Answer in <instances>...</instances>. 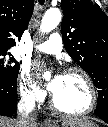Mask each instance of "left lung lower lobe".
I'll use <instances>...</instances> for the list:
<instances>
[{
    "mask_svg": "<svg viewBox=\"0 0 108 127\" xmlns=\"http://www.w3.org/2000/svg\"><path fill=\"white\" fill-rule=\"evenodd\" d=\"M95 114L108 123V106L105 105H97L95 110Z\"/></svg>",
    "mask_w": 108,
    "mask_h": 127,
    "instance_id": "1",
    "label": "left lung lower lobe"
}]
</instances>
